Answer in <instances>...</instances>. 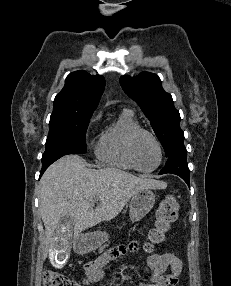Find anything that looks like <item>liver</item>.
Wrapping results in <instances>:
<instances>
[{"label": "liver", "instance_id": "obj_1", "mask_svg": "<svg viewBox=\"0 0 231 286\" xmlns=\"http://www.w3.org/2000/svg\"><path fill=\"white\" fill-rule=\"evenodd\" d=\"M166 187L163 181L139 178L117 168L89 169L80 156H64L40 181L39 211L46 246L54 244L55 230L65 216L73 217L74 238H78L82 231L115 218L135 193ZM94 200L99 201L95 210Z\"/></svg>", "mask_w": 231, "mask_h": 286}]
</instances>
